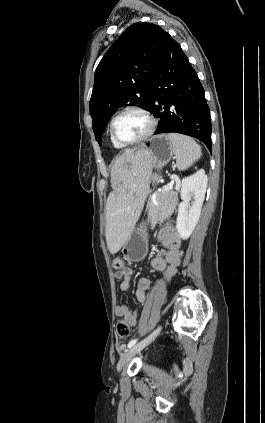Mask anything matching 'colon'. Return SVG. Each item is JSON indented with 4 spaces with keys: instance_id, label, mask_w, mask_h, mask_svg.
I'll return each mask as SVG.
<instances>
[{
    "instance_id": "obj_1",
    "label": "colon",
    "mask_w": 265,
    "mask_h": 423,
    "mask_svg": "<svg viewBox=\"0 0 265 423\" xmlns=\"http://www.w3.org/2000/svg\"><path fill=\"white\" fill-rule=\"evenodd\" d=\"M124 261L121 258H115L113 260V267L116 271H121L124 268ZM117 337L121 340H126L131 335V329L128 322L125 319H120L116 325Z\"/></svg>"
}]
</instances>
